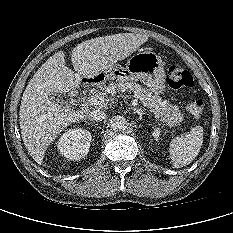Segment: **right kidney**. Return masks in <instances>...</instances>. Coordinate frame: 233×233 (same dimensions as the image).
Returning <instances> with one entry per match:
<instances>
[{
	"label": "right kidney",
	"mask_w": 233,
	"mask_h": 233,
	"mask_svg": "<svg viewBox=\"0 0 233 233\" xmlns=\"http://www.w3.org/2000/svg\"><path fill=\"white\" fill-rule=\"evenodd\" d=\"M91 140L92 136L88 130L73 128L61 136L57 147L64 157L79 160L88 154Z\"/></svg>",
	"instance_id": "ca27d5eb"
}]
</instances>
